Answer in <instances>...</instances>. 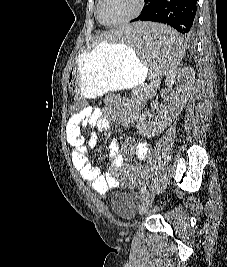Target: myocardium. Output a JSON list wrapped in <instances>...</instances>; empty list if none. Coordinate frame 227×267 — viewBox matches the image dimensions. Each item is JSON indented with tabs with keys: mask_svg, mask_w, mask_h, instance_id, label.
Listing matches in <instances>:
<instances>
[{
	"mask_svg": "<svg viewBox=\"0 0 227 267\" xmlns=\"http://www.w3.org/2000/svg\"><path fill=\"white\" fill-rule=\"evenodd\" d=\"M102 2H103V0H98L96 14H97L98 20L103 25H106V26H116V25H120V24H123V23H127V22L135 19L137 16L140 15V13L143 11L144 6H145V0H137L135 9L129 15H127L126 17H124V18H122V19H120L118 21L111 22V23H106L101 18V4H102Z\"/></svg>",
	"mask_w": 227,
	"mask_h": 267,
	"instance_id": "1",
	"label": "myocardium"
}]
</instances>
